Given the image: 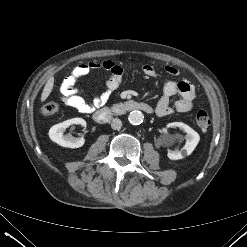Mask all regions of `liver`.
I'll use <instances>...</instances> for the list:
<instances>
[{"mask_svg":"<svg viewBox=\"0 0 247 247\" xmlns=\"http://www.w3.org/2000/svg\"><path fill=\"white\" fill-rule=\"evenodd\" d=\"M53 86H54V77L51 76L47 80V82H46V84L44 86L43 92L41 94V101L42 102L45 101L48 98V96L50 95V93H51V91L53 89Z\"/></svg>","mask_w":247,"mask_h":247,"instance_id":"6515ba94","label":"liver"}]
</instances>
